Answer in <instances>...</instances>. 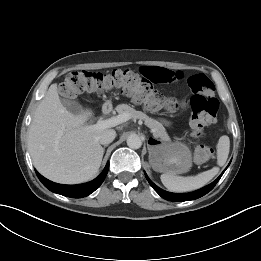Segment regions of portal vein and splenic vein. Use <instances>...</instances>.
<instances>
[{"label": "portal vein and splenic vein", "mask_w": 261, "mask_h": 261, "mask_svg": "<svg viewBox=\"0 0 261 261\" xmlns=\"http://www.w3.org/2000/svg\"><path fill=\"white\" fill-rule=\"evenodd\" d=\"M129 119H131L130 114L124 112L117 116L108 118L106 120H98L97 123L94 125H91L90 128L95 129V130L111 128V127H115L119 124H122V123L128 121Z\"/></svg>", "instance_id": "18ae733b"}]
</instances>
